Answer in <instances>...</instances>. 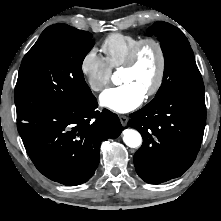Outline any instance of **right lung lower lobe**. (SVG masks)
<instances>
[{
    "mask_svg": "<svg viewBox=\"0 0 221 221\" xmlns=\"http://www.w3.org/2000/svg\"><path fill=\"white\" fill-rule=\"evenodd\" d=\"M96 108L97 100L91 93L69 108L38 112L18 120L27 154L47 178L76 186L94 175L101 142L117 138L122 131L116 114Z\"/></svg>",
    "mask_w": 221,
    "mask_h": 221,
    "instance_id": "1",
    "label": "right lung lower lobe"
}]
</instances>
